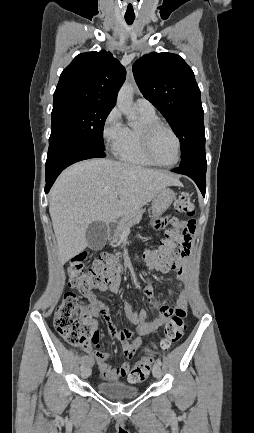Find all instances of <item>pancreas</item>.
Listing matches in <instances>:
<instances>
[{
    "mask_svg": "<svg viewBox=\"0 0 254 433\" xmlns=\"http://www.w3.org/2000/svg\"><path fill=\"white\" fill-rule=\"evenodd\" d=\"M143 213L144 210L138 209L123 216L117 224L116 235L113 240V243H117L126 230H128L133 225L138 224L142 219Z\"/></svg>",
    "mask_w": 254,
    "mask_h": 433,
    "instance_id": "cf45deb5",
    "label": "pancreas"
}]
</instances>
